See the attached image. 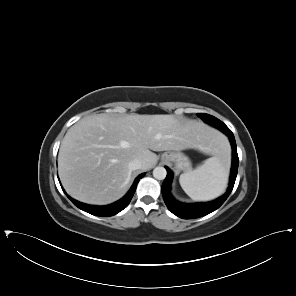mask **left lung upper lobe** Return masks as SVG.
Returning <instances> with one entry per match:
<instances>
[{
    "instance_id": "5c2ea615",
    "label": "left lung upper lobe",
    "mask_w": 296,
    "mask_h": 296,
    "mask_svg": "<svg viewBox=\"0 0 296 296\" xmlns=\"http://www.w3.org/2000/svg\"><path fill=\"white\" fill-rule=\"evenodd\" d=\"M204 122L220 129V127H224V128H228L222 121H220L219 119H217L214 116H211L209 114H205V113H199L197 114Z\"/></svg>"
}]
</instances>
